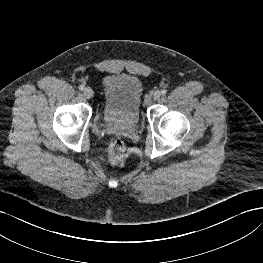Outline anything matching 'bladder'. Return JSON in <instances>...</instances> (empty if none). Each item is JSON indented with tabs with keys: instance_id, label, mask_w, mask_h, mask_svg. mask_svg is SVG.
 Instances as JSON below:
<instances>
[{
	"instance_id": "1",
	"label": "bladder",
	"mask_w": 263,
	"mask_h": 263,
	"mask_svg": "<svg viewBox=\"0 0 263 263\" xmlns=\"http://www.w3.org/2000/svg\"><path fill=\"white\" fill-rule=\"evenodd\" d=\"M105 122L125 127H136L141 116L143 86L129 74H110L102 79Z\"/></svg>"
}]
</instances>
